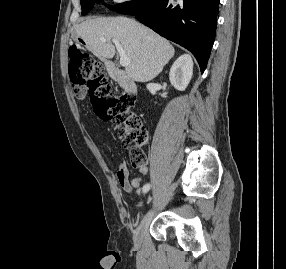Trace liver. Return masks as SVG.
<instances>
[{
    "mask_svg": "<svg viewBox=\"0 0 286 269\" xmlns=\"http://www.w3.org/2000/svg\"><path fill=\"white\" fill-rule=\"evenodd\" d=\"M87 48L100 59H111L116 50L112 39L122 45L131 62L127 76L137 82H148L159 75L174 55L173 46L151 29L126 17L89 19L74 26ZM106 39L102 42L100 39Z\"/></svg>",
    "mask_w": 286,
    "mask_h": 269,
    "instance_id": "1",
    "label": "liver"
}]
</instances>
